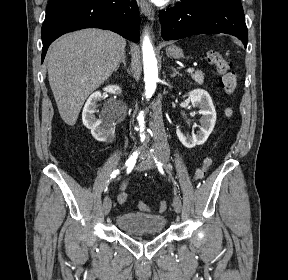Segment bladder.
<instances>
[{
  "instance_id": "bladder-1",
  "label": "bladder",
  "mask_w": 288,
  "mask_h": 280,
  "mask_svg": "<svg viewBox=\"0 0 288 280\" xmlns=\"http://www.w3.org/2000/svg\"><path fill=\"white\" fill-rule=\"evenodd\" d=\"M115 223L121 231L130 234L159 233L166 226V218L152 213H122Z\"/></svg>"
}]
</instances>
